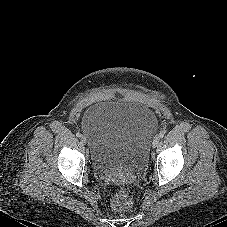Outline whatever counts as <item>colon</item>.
Wrapping results in <instances>:
<instances>
[{"label":"colon","instance_id":"1","mask_svg":"<svg viewBox=\"0 0 227 227\" xmlns=\"http://www.w3.org/2000/svg\"><path fill=\"white\" fill-rule=\"evenodd\" d=\"M135 192L130 187H119L114 190L110 198L111 207L117 212H126L133 206Z\"/></svg>","mask_w":227,"mask_h":227}]
</instances>
